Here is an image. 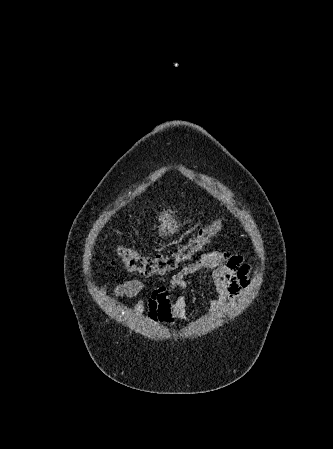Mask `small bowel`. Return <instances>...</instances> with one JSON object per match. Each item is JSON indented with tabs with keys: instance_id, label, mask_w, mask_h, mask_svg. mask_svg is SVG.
Returning <instances> with one entry per match:
<instances>
[{
	"instance_id": "small-bowel-1",
	"label": "small bowel",
	"mask_w": 333,
	"mask_h": 449,
	"mask_svg": "<svg viewBox=\"0 0 333 449\" xmlns=\"http://www.w3.org/2000/svg\"><path fill=\"white\" fill-rule=\"evenodd\" d=\"M202 271H210L209 278L214 291L210 290L208 297L211 309L215 312L224 311L230 298H241L243 291L251 283V268L243 257L211 251L174 274L167 286L158 287L149 297L142 296L134 307L135 312L142 315L146 311L150 321L166 326L186 323L188 312L183 293L187 287L186 277ZM144 290L145 286L141 281L128 280L116 285L113 294L115 297H134ZM174 290L179 293L173 298Z\"/></svg>"
}]
</instances>
